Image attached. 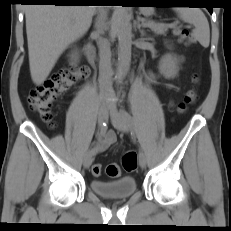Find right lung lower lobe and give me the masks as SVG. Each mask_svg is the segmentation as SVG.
Masks as SVG:
<instances>
[{
    "instance_id": "1",
    "label": "right lung lower lobe",
    "mask_w": 231,
    "mask_h": 231,
    "mask_svg": "<svg viewBox=\"0 0 231 231\" xmlns=\"http://www.w3.org/2000/svg\"><path fill=\"white\" fill-rule=\"evenodd\" d=\"M78 0H23L26 3H50L54 5H80Z\"/></svg>"
}]
</instances>
